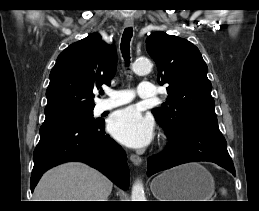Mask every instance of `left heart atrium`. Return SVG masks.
Here are the masks:
<instances>
[{"label": "left heart atrium", "mask_w": 259, "mask_h": 211, "mask_svg": "<svg viewBox=\"0 0 259 211\" xmlns=\"http://www.w3.org/2000/svg\"><path fill=\"white\" fill-rule=\"evenodd\" d=\"M108 130L120 143L132 148H142L152 140L154 124L136 107H127L111 115Z\"/></svg>", "instance_id": "1"}]
</instances>
